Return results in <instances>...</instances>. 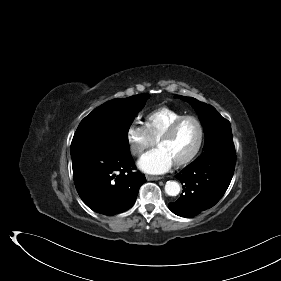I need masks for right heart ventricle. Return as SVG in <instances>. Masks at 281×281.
<instances>
[{"instance_id": "obj_1", "label": "right heart ventricle", "mask_w": 281, "mask_h": 281, "mask_svg": "<svg viewBox=\"0 0 281 281\" xmlns=\"http://www.w3.org/2000/svg\"><path fill=\"white\" fill-rule=\"evenodd\" d=\"M183 116V113L168 107H159L145 117V127L156 142L173 121Z\"/></svg>"}]
</instances>
